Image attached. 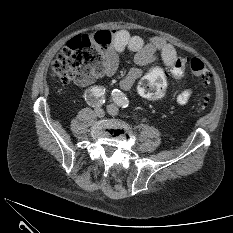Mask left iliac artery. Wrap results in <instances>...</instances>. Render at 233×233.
Here are the masks:
<instances>
[{
  "label": "left iliac artery",
  "mask_w": 233,
  "mask_h": 233,
  "mask_svg": "<svg viewBox=\"0 0 233 233\" xmlns=\"http://www.w3.org/2000/svg\"><path fill=\"white\" fill-rule=\"evenodd\" d=\"M112 97L116 104L121 106L122 108H126L129 105V101L125 94H123L121 91L114 89L112 91Z\"/></svg>",
  "instance_id": "44dca946"
}]
</instances>
